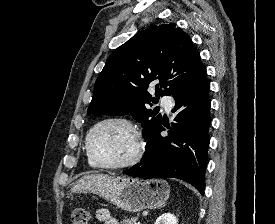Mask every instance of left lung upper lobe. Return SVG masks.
I'll list each match as a JSON object with an SVG mask.
<instances>
[{
  "instance_id": "obj_1",
  "label": "left lung upper lobe",
  "mask_w": 275,
  "mask_h": 224,
  "mask_svg": "<svg viewBox=\"0 0 275 224\" xmlns=\"http://www.w3.org/2000/svg\"><path fill=\"white\" fill-rule=\"evenodd\" d=\"M203 67L191 38L175 24L150 26L118 47L96 79L88 113L125 115L143 126L147 137L162 119L147 105L156 103L147 87L155 84L156 97L172 95Z\"/></svg>"
}]
</instances>
